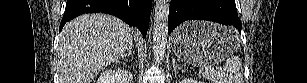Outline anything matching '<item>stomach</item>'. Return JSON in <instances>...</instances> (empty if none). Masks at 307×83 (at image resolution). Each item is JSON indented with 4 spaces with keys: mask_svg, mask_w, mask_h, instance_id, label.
<instances>
[{
    "mask_svg": "<svg viewBox=\"0 0 307 83\" xmlns=\"http://www.w3.org/2000/svg\"><path fill=\"white\" fill-rule=\"evenodd\" d=\"M238 46L239 35L233 28L204 21L181 25L172 38L174 54L196 66L218 64L232 55Z\"/></svg>",
    "mask_w": 307,
    "mask_h": 83,
    "instance_id": "stomach-1",
    "label": "stomach"
}]
</instances>
